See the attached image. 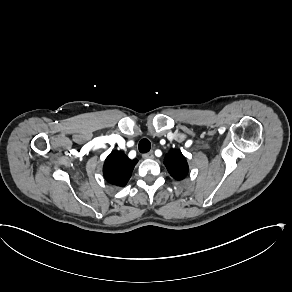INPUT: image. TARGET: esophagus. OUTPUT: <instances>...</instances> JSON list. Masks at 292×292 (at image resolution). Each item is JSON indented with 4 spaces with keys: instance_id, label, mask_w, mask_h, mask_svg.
<instances>
[{
    "instance_id": "1",
    "label": "esophagus",
    "mask_w": 292,
    "mask_h": 292,
    "mask_svg": "<svg viewBox=\"0 0 292 292\" xmlns=\"http://www.w3.org/2000/svg\"><path fill=\"white\" fill-rule=\"evenodd\" d=\"M142 157L144 159H154V153H153V151H150L148 153L143 154Z\"/></svg>"
}]
</instances>
